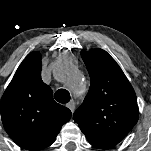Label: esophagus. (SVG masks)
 Listing matches in <instances>:
<instances>
[{"instance_id": "obj_1", "label": "esophagus", "mask_w": 151, "mask_h": 151, "mask_svg": "<svg viewBox=\"0 0 151 151\" xmlns=\"http://www.w3.org/2000/svg\"><path fill=\"white\" fill-rule=\"evenodd\" d=\"M67 107L71 110V112H73L75 109V102L74 101L69 102L67 104Z\"/></svg>"}]
</instances>
